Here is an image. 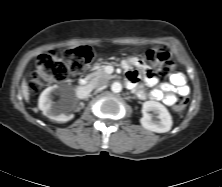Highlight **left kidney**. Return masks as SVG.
<instances>
[{"label":"left kidney","instance_id":"1","mask_svg":"<svg viewBox=\"0 0 222 187\" xmlns=\"http://www.w3.org/2000/svg\"><path fill=\"white\" fill-rule=\"evenodd\" d=\"M156 114V118L149 112ZM142 118L140 119L141 125L150 131L157 133L168 132L172 127V117L167 108L157 101H146L142 107Z\"/></svg>","mask_w":222,"mask_h":187}]
</instances>
